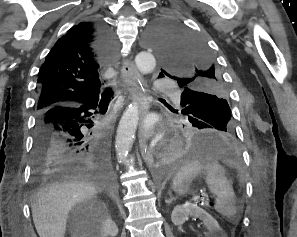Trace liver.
<instances>
[{"mask_svg":"<svg viewBox=\"0 0 297 237\" xmlns=\"http://www.w3.org/2000/svg\"><path fill=\"white\" fill-rule=\"evenodd\" d=\"M97 193L94 181L83 176H70L38 190L33 196L31 209L39 237H64L73 206L94 198Z\"/></svg>","mask_w":297,"mask_h":237,"instance_id":"obj_1","label":"liver"}]
</instances>
